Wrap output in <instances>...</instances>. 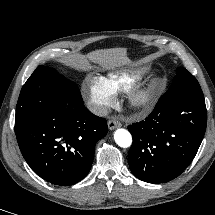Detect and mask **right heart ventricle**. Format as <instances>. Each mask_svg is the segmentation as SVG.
Segmentation results:
<instances>
[{
	"label": "right heart ventricle",
	"mask_w": 215,
	"mask_h": 215,
	"mask_svg": "<svg viewBox=\"0 0 215 215\" xmlns=\"http://www.w3.org/2000/svg\"><path fill=\"white\" fill-rule=\"evenodd\" d=\"M101 79L114 94H117L129 90L137 81L138 76L128 71H118L108 73Z\"/></svg>",
	"instance_id": "obj_1"
}]
</instances>
